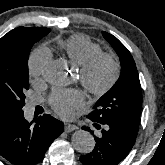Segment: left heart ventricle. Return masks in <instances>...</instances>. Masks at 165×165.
Listing matches in <instances>:
<instances>
[{
  "instance_id": "1",
  "label": "left heart ventricle",
  "mask_w": 165,
  "mask_h": 165,
  "mask_svg": "<svg viewBox=\"0 0 165 165\" xmlns=\"http://www.w3.org/2000/svg\"><path fill=\"white\" fill-rule=\"evenodd\" d=\"M109 73H110L109 65L107 63H102L96 72L95 78L99 83H102L108 78Z\"/></svg>"
}]
</instances>
